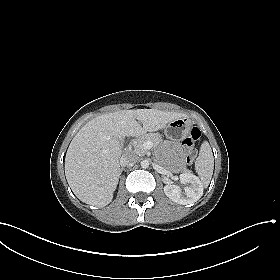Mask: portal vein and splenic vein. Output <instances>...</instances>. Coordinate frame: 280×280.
<instances>
[{
  "label": "portal vein and splenic vein",
  "instance_id": "1",
  "mask_svg": "<svg viewBox=\"0 0 280 280\" xmlns=\"http://www.w3.org/2000/svg\"><path fill=\"white\" fill-rule=\"evenodd\" d=\"M143 147L144 149H151L153 147V142L151 141H146L144 144H143Z\"/></svg>",
  "mask_w": 280,
  "mask_h": 280
}]
</instances>
